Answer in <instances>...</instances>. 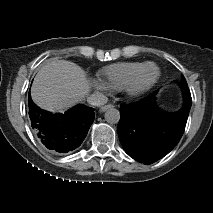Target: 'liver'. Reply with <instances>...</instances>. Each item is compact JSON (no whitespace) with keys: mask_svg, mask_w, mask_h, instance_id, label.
I'll return each mask as SVG.
<instances>
[{"mask_svg":"<svg viewBox=\"0 0 213 213\" xmlns=\"http://www.w3.org/2000/svg\"><path fill=\"white\" fill-rule=\"evenodd\" d=\"M91 84L84 71L67 60H52L36 74L31 97L40 108L63 112L88 95Z\"/></svg>","mask_w":213,"mask_h":213,"instance_id":"obj_1","label":"liver"}]
</instances>
